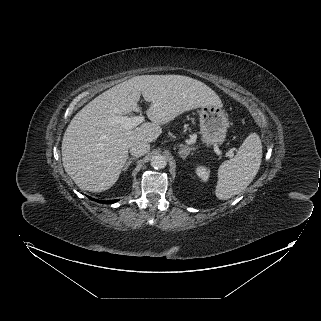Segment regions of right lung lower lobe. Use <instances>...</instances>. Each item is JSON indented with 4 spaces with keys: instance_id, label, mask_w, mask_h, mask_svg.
I'll return each mask as SVG.
<instances>
[{
    "instance_id": "1",
    "label": "right lung lower lobe",
    "mask_w": 321,
    "mask_h": 321,
    "mask_svg": "<svg viewBox=\"0 0 321 321\" xmlns=\"http://www.w3.org/2000/svg\"><path fill=\"white\" fill-rule=\"evenodd\" d=\"M90 198V197H89ZM91 200H93V201H97V202H100V203H106V204H111V203H115V202H117L118 200H109V201H98V200H96V199H94V198H90Z\"/></svg>"
}]
</instances>
